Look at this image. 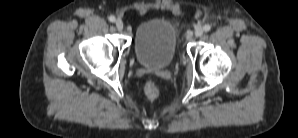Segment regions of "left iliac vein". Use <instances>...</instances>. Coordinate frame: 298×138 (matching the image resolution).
Returning a JSON list of instances; mask_svg holds the SVG:
<instances>
[{
    "instance_id": "1",
    "label": "left iliac vein",
    "mask_w": 298,
    "mask_h": 138,
    "mask_svg": "<svg viewBox=\"0 0 298 138\" xmlns=\"http://www.w3.org/2000/svg\"><path fill=\"white\" fill-rule=\"evenodd\" d=\"M203 32H204V29H203L201 26H199V27H197V28L195 29V31H194V35H195L196 37H199V36H201V35L203 34Z\"/></svg>"
}]
</instances>
